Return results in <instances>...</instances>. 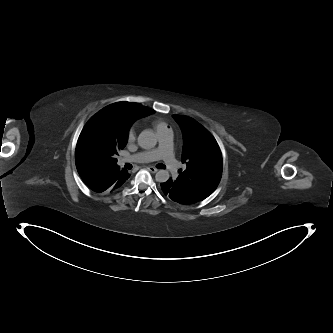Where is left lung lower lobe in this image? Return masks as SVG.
Returning <instances> with one entry per match:
<instances>
[{
  "mask_svg": "<svg viewBox=\"0 0 333 333\" xmlns=\"http://www.w3.org/2000/svg\"><path fill=\"white\" fill-rule=\"evenodd\" d=\"M161 192L167 198L183 205H190L202 201L186 188L176 183L172 178L161 183Z\"/></svg>",
  "mask_w": 333,
  "mask_h": 333,
  "instance_id": "left-lung-lower-lobe-1",
  "label": "left lung lower lobe"
}]
</instances>
